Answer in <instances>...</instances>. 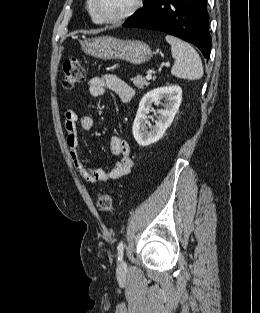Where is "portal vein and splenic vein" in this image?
Returning a JSON list of instances; mask_svg holds the SVG:
<instances>
[{
  "label": "portal vein and splenic vein",
  "mask_w": 260,
  "mask_h": 313,
  "mask_svg": "<svg viewBox=\"0 0 260 313\" xmlns=\"http://www.w3.org/2000/svg\"><path fill=\"white\" fill-rule=\"evenodd\" d=\"M168 65H169V63H168ZM146 79L147 80H151L152 79V73H148L147 76H146Z\"/></svg>",
  "instance_id": "18ae733b"
}]
</instances>
